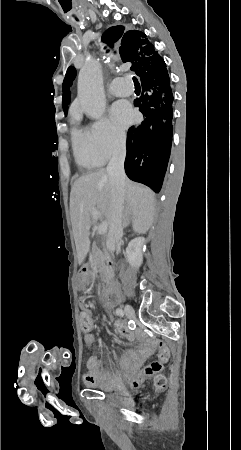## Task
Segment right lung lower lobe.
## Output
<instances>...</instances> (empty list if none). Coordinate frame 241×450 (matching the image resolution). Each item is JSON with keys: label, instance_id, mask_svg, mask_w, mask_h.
Listing matches in <instances>:
<instances>
[{"label": "right lung lower lobe", "instance_id": "obj_1", "mask_svg": "<svg viewBox=\"0 0 241 450\" xmlns=\"http://www.w3.org/2000/svg\"><path fill=\"white\" fill-rule=\"evenodd\" d=\"M142 94L134 105L145 116L127 134L125 172L136 182L159 192L167 169L172 144L173 94L166 64L145 65L136 72Z\"/></svg>", "mask_w": 241, "mask_h": 450}]
</instances>
